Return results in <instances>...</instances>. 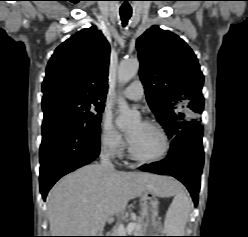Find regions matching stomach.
Segmentation results:
<instances>
[{
	"mask_svg": "<svg viewBox=\"0 0 248 237\" xmlns=\"http://www.w3.org/2000/svg\"><path fill=\"white\" fill-rule=\"evenodd\" d=\"M170 179V178H169ZM172 180V179H170ZM173 181V180H172ZM176 183V182H175ZM174 188L169 186L162 190L160 194H154L152 192H144L140 197L141 217L147 223L145 233L148 234L154 230L156 218L159 212V201L157 197H166L173 194Z\"/></svg>",
	"mask_w": 248,
	"mask_h": 237,
	"instance_id": "0dacf381",
	"label": "stomach"
}]
</instances>
